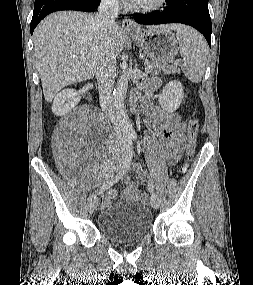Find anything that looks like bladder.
Wrapping results in <instances>:
<instances>
[{
  "instance_id": "1",
  "label": "bladder",
  "mask_w": 253,
  "mask_h": 285,
  "mask_svg": "<svg viewBox=\"0 0 253 285\" xmlns=\"http://www.w3.org/2000/svg\"><path fill=\"white\" fill-rule=\"evenodd\" d=\"M101 233L115 242L142 239L152 227L150 210L137 201H124L102 209L98 217Z\"/></svg>"
}]
</instances>
